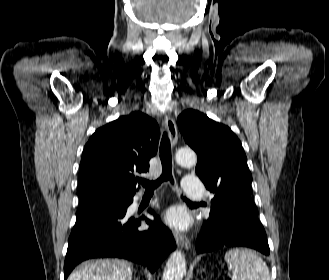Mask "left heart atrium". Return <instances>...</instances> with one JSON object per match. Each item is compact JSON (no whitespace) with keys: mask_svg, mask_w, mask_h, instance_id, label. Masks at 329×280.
Returning <instances> with one entry per match:
<instances>
[{"mask_svg":"<svg viewBox=\"0 0 329 280\" xmlns=\"http://www.w3.org/2000/svg\"><path fill=\"white\" fill-rule=\"evenodd\" d=\"M165 221L178 229H184L188 225V216L181 208L172 207L165 214Z\"/></svg>","mask_w":329,"mask_h":280,"instance_id":"obj_1","label":"left heart atrium"}]
</instances>
